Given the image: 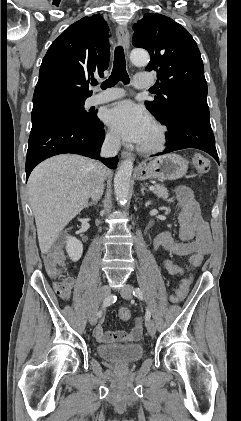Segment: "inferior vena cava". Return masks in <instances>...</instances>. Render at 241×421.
Instances as JSON below:
<instances>
[{
  "instance_id": "inferior-vena-cava-1",
  "label": "inferior vena cava",
  "mask_w": 241,
  "mask_h": 421,
  "mask_svg": "<svg viewBox=\"0 0 241 421\" xmlns=\"http://www.w3.org/2000/svg\"><path fill=\"white\" fill-rule=\"evenodd\" d=\"M120 149V138L116 135H108L101 148V156L113 157ZM106 167L101 163H96L95 171L92 176L90 196L93 201H98L104 190Z\"/></svg>"
}]
</instances>
